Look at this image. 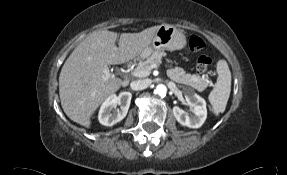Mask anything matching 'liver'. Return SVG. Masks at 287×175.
Here are the masks:
<instances>
[{
  "instance_id": "obj_1",
  "label": "liver",
  "mask_w": 287,
  "mask_h": 175,
  "mask_svg": "<svg viewBox=\"0 0 287 175\" xmlns=\"http://www.w3.org/2000/svg\"><path fill=\"white\" fill-rule=\"evenodd\" d=\"M157 28L120 36L107 30L90 33L73 50L60 72L59 95L65 114L74 122L90 127L95 110L123 83L112 75L106 78L107 66L123 64L139 56L151 44Z\"/></svg>"
}]
</instances>
